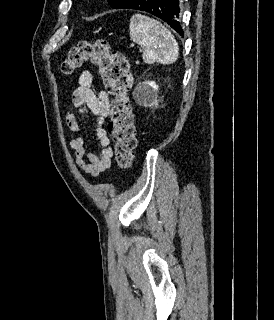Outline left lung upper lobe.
Wrapping results in <instances>:
<instances>
[{"label": "left lung upper lobe", "instance_id": "1", "mask_svg": "<svg viewBox=\"0 0 274 320\" xmlns=\"http://www.w3.org/2000/svg\"><path fill=\"white\" fill-rule=\"evenodd\" d=\"M131 0H108L110 6L115 9H122L126 6Z\"/></svg>", "mask_w": 274, "mask_h": 320}]
</instances>
